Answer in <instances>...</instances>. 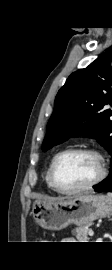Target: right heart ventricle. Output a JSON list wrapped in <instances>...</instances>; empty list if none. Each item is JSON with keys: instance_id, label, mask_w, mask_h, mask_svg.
I'll use <instances>...</instances> for the list:
<instances>
[{"instance_id": "obj_1", "label": "right heart ventricle", "mask_w": 112, "mask_h": 270, "mask_svg": "<svg viewBox=\"0 0 112 270\" xmlns=\"http://www.w3.org/2000/svg\"><path fill=\"white\" fill-rule=\"evenodd\" d=\"M48 170H49V168L46 170V173H45V182H46V185H47V187L49 189L54 190L53 187L51 186L50 182H49Z\"/></svg>"}]
</instances>
